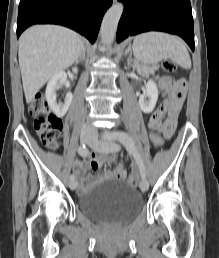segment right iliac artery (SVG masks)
<instances>
[{"label":"right iliac artery","mask_w":219,"mask_h":258,"mask_svg":"<svg viewBox=\"0 0 219 258\" xmlns=\"http://www.w3.org/2000/svg\"><path fill=\"white\" fill-rule=\"evenodd\" d=\"M78 154L82 157H87L89 155V150L86 148L85 145H81L78 148ZM75 179V175L71 174L70 175V180H74Z\"/></svg>","instance_id":"obj_1"}]
</instances>
